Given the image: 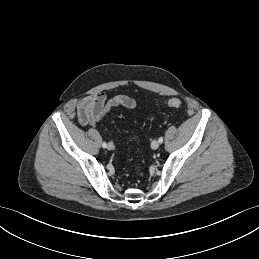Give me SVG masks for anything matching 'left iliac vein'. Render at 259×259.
Instances as JSON below:
<instances>
[{
	"label": "left iliac vein",
	"instance_id": "4c4485c4",
	"mask_svg": "<svg viewBox=\"0 0 259 259\" xmlns=\"http://www.w3.org/2000/svg\"><path fill=\"white\" fill-rule=\"evenodd\" d=\"M159 145H160L159 141L154 140V141H152V143H151V148L154 149V150H156V149L159 148Z\"/></svg>",
	"mask_w": 259,
	"mask_h": 259
}]
</instances>
